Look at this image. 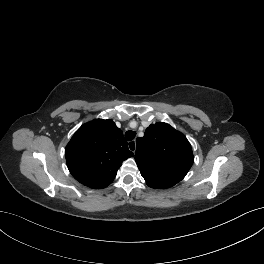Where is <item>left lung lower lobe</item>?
<instances>
[{"mask_svg":"<svg viewBox=\"0 0 264 264\" xmlns=\"http://www.w3.org/2000/svg\"><path fill=\"white\" fill-rule=\"evenodd\" d=\"M147 185L152 188H169L176 184L171 178L164 174H152L150 176H143Z\"/></svg>","mask_w":264,"mask_h":264,"instance_id":"obj_1","label":"left lung lower lobe"}]
</instances>
